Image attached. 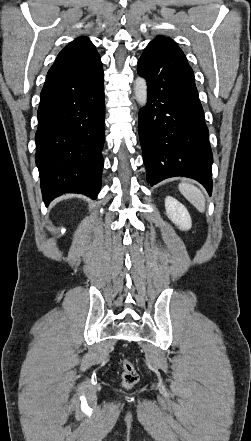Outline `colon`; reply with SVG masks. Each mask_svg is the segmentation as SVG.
<instances>
[{
    "label": "colon",
    "instance_id": "5ec220e1",
    "mask_svg": "<svg viewBox=\"0 0 251 441\" xmlns=\"http://www.w3.org/2000/svg\"><path fill=\"white\" fill-rule=\"evenodd\" d=\"M122 374H121V383L125 388H132L139 381V374L133 365L128 359H122L121 361Z\"/></svg>",
    "mask_w": 251,
    "mask_h": 441
}]
</instances>
